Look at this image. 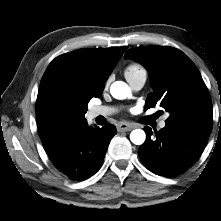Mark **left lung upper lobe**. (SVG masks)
Listing matches in <instances>:
<instances>
[{"instance_id": "left-lung-upper-lobe-1", "label": "left lung upper lobe", "mask_w": 221, "mask_h": 221, "mask_svg": "<svg viewBox=\"0 0 221 221\" xmlns=\"http://www.w3.org/2000/svg\"><path fill=\"white\" fill-rule=\"evenodd\" d=\"M125 58L148 70L154 93L149 94L147 105L159 103L170 112L166 125L208 138L213 123L210 95L197 67L182 51L168 46L135 47Z\"/></svg>"}]
</instances>
